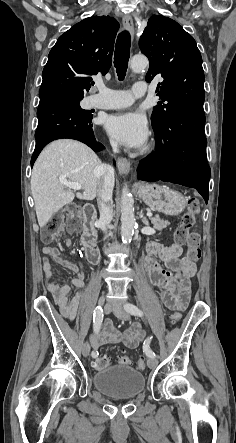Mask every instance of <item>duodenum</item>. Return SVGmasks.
Wrapping results in <instances>:
<instances>
[{
  "label": "duodenum",
  "mask_w": 236,
  "mask_h": 443,
  "mask_svg": "<svg viewBox=\"0 0 236 443\" xmlns=\"http://www.w3.org/2000/svg\"><path fill=\"white\" fill-rule=\"evenodd\" d=\"M95 216L96 209L93 206L87 205L83 208L85 225L81 237V246L85 250L88 262L93 265L98 263V248L96 246L97 235L93 227Z\"/></svg>",
  "instance_id": "duodenum-1"
}]
</instances>
